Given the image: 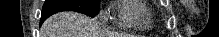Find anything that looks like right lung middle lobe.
I'll return each instance as SVG.
<instances>
[{
    "label": "right lung middle lobe",
    "instance_id": "dd1d6c3e",
    "mask_svg": "<svg viewBox=\"0 0 219 37\" xmlns=\"http://www.w3.org/2000/svg\"><path fill=\"white\" fill-rule=\"evenodd\" d=\"M98 0H47L43 6L42 14L52 11H75L94 17L99 13Z\"/></svg>",
    "mask_w": 219,
    "mask_h": 37
}]
</instances>
